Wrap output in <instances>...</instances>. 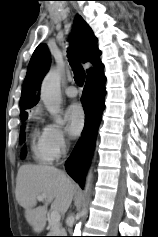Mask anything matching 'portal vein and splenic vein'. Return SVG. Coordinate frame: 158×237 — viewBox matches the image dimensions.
<instances>
[{"label": "portal vein and splenic vein", "mask_w": 158, "mask_h": 237, "mask_svg": "<svg viewBox=\"0 0 158 237\" xmlns=\"http://www.w3.org/2000/svg\"><path fill=\"white\" fill-rule=\"evenodd\" d=\"M46 197H47L46 194H42V195H39L37 197V200L38 201H43L44 199H46ZM60 218H61V216H60L59 212H57V211L51 212V214H50V223L52 224L53 227H58L59 226Z\"/></svg>", "instance_id": "portal-vein-and-splenic-vein-1"}]
</instances>
